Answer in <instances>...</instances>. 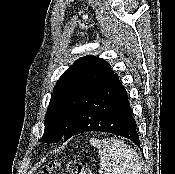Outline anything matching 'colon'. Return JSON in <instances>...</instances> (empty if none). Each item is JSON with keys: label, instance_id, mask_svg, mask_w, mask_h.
<instances>
[{"label": "colon", "instance_id": "colon-1", "mask_svg": "<svg viewBox=\"0 0 175 174\" xmlns=\"http://www.w3.org/2000/svg\"><path fill=\"white\" fill-rule=\"evenodd\" d=\"M65 167L70 174H93L92 171L76 159L63 164L60 161H51L42 169V174H54Z\"/></svg>", "mask_w": 175, "mask_h": 174}]
</instances>
